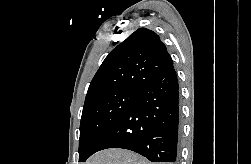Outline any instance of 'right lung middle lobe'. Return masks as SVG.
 Segmentation results:
<instances>
[{
  "label": "right lung middle lobe",
  "instance_id": "obj_1",
  "mask_svg": "<svg viewBox=\"0 0 251 164\" xmlns=\"http://www.w3.org/2000/svg\"><path fill=\"white\" fill-rule=\"evenodd\" d=\"M138 95V88H121L84 104L80 124L79 162H85L91 156L97 142L137 100Z\"/></svg>",
  "mask_w": 251,
  "mask_h": 164
}]
</instances>
